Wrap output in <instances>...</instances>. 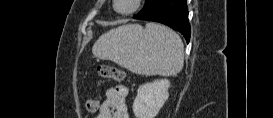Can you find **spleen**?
I'll return each mask as SVG.
<instances>
[{
	"label": "spleen",
	"mask_w": 273,
	"mask_h": 118,
	"mask_svg": "<svg viewBox=\"0 0 273 118\" xmlns=\"http://www.w3.org/2000/svg\"><path fill=\"white\" fill-rule=\"evenodd\" d=\"M94 56L110 60L140 75H176L183 68L184 45L171 29L147 23L127 24L99 37L92 48Z\"/></svg>",
	"instance_id": "obj_1"
}]
</instances>
